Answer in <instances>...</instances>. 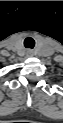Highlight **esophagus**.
Listing matches in <instances>:
<instances>
[{
    "label": "esophagus",
    "instance_id": "obj_1",
    "mask_svg": "<svg viewBox=\"0 0 63 123\" xmlns=\"http://www.w3.org/2000/svg\"><path fill=\"white\" fill-rule=\"evenodd\" d=\"M27 56H30V57L34 56V51L31 49L27 50Z\"/></svg>",
    "mask_w": 63,
    "mask_h": 123
}]
</instances>
